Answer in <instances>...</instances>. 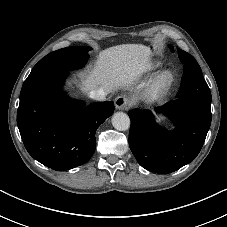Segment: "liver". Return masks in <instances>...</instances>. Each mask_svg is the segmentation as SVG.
I'll return each instance as SVG.
<instances>
[{"label":"liver","mask_w":227,"mask_h":227,"mask_svg":"<svg viewBox=\"0 0 227 227\" xmlns=\"http://www.w3.org/2000/svg\"><path fill=\"white\" fill-rule=\"evenodd\" d=\"M150 54V49L142 44H122L101 51L91 73L82 82V90L102 88L110 93L129 86L147 66Z\"/></svg>","instance_id":"1"}]
</instances>
